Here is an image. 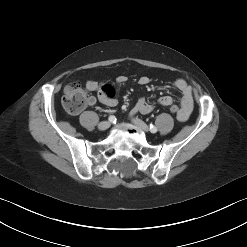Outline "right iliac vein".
<instances>
[{"mask_svg":"<svg viewBox=\"0 0 247 247\" xmlns=\"http://www.w3.org/2000/svg\"><path fill=\"white\" fill-rule=\"evenodd\" d=\"M110 122L109 121H102L98 125V129L101 131L107 130L110 127Z\"/></svg>","mask_w":247,"mask_h":247,"instance_id":"1","label":"right iliac vein"}]
</instances>
